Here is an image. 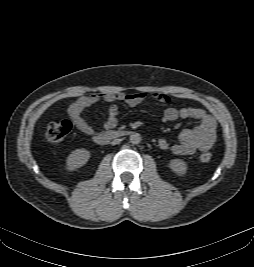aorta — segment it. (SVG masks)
Returning a JSON list of instances; mask_svg holds the SVG:
<instances>
[{
    "mask_svg": "<svg viewBox=\"0 0 254 267\" xmlns=\"http://www.w3.org/2000/svg\"><path fill=\"white\" fill-rule=\"evenodd\" d=\"M141 135L139 133L133 132L130 135V142L134 145H137L141 142Z\"/></svg>",
    "mask_w": 254,
    "mask_h": 267,
    "instance_id": "aorta-1",
    "label": "aorta"
}]
</instances>
